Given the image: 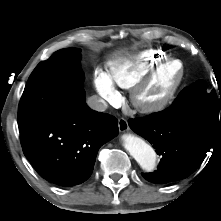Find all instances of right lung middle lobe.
<instances>
[{
    "label": "right lung middle lobe",
    "instance_id": "1",
    "mask_svg": "<svg viewBox=\"0 0 221 221\" xmlns=\"http://www.w3.org/2000/svg\"><path fill=\"white\" fill-rule=\"evenodd\" d=\"M81 51L66 48L37 65L19 103L18 126L24 130L52 116L63 105L84 92L85 75L80 67Z\"/></svg>",
    "mask_w": 221,
    "mask_h": 221
}]
</instances>
